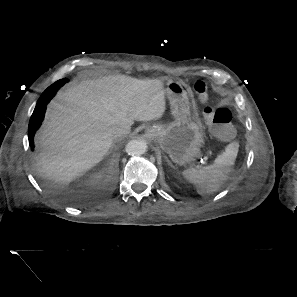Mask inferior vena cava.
I'll return each instance as SVG.
<instances>
[{"mask_svg": "<svg viewBox=\"0 0 297 297\" xmlns=\"http://www.w3.org/2000/svg\"><path fill=\"white\" fill-rule=\"evenodd\" d=\"M113 135L118 138L130 132V126L127 124H119L113 127Z\"/></svg>", "mask_w": 297, "mask_h": 297, "instance_id": "1", "label": "inferior vena cava"}]
</instances>
